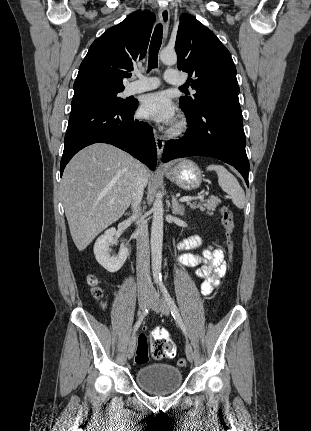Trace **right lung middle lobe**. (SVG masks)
I'll return each instance as SVG.
<instances>
[{"label": "right lung middle lobe", "mask_w": 311, "mask_h": 431, "mask_svg": "<svg viewBox=\"0 0 311 431\" xmlns=\"http://www.w3.org/2000/svg\"><path fill=\"white\" fill-rule=\"evenodd\" d=\"M122 91H91L74 94L72 99V109L86 105H105L120 109H130L137 104V101H128L118 96Z\"/></svg>", "instance_id": "1"}]
</instances>
